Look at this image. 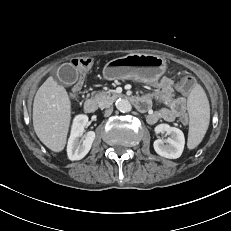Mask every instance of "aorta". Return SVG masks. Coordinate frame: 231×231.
<instances>
[{
	"label": "aorta",
	"mask_w": 231,
	"mask_h": 231,
	"mask_svg": "<svg viewBox=\"0 0 231 231\" xmlns=\"http://www.w3.org/2000/svg\"><path fill=\"white\" fill-rule=\"evenodd\" d=\"M115 105L116 108L123 113L130 112L132 109L130 102L126 99H118Z\"/></svg>",
	"instance_id": "obj_1"
}]
</instances>
